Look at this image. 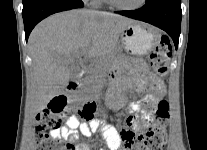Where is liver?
<instances>
[{
  "label": "liver",
  "instance_id": "1",
  "mask_svg": "<svg viewBox=\"0 0 207 150\" xmlns=\"http://www.w3.org/2000/svg\"><path fill=\"white\" fill-rule=\"evenodd\" d=\"M132 23V19L94 10L60 12L40 22L28 40L33 61L27 97L30 113L35 116L62 93L75 58L82 54L89 59L108 56Z\"/></svg>",
  "mask_w": 207,
  "mask_h": 150
}]
</instances>
